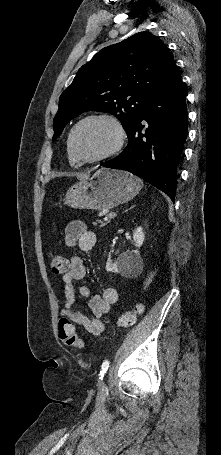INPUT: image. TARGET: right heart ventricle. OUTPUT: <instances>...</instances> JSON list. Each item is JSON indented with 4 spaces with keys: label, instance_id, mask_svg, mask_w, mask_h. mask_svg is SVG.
I'll list each match as a JSON object with an SVG mask.
<instances>
[{
    "label": "right heart ventricle",
    "instance_id": "e07e8e85",
    "mask_svg": "<svg viewBox=\"0 0 221 455\" xmlns=\"http://www.w3.org/2000/svg\"><path fill=\"white\" fill-rule=\"evenodd\" d=\"M67 152H68L70 163L72 165H74V166L78 165V162L71 156L70 151H69V147L67 148Z\"/></svg>",
    "mask_w": 221,
    "mask_h": 455
}]
</instances>
